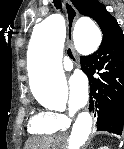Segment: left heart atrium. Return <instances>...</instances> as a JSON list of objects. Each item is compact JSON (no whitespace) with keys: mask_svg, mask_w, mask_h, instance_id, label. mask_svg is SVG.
<instances>
[{"mask_svg":"<svg viewBox=\"0 0 124 149\" xmlns=\"http://www.w3.org/2000/svg\"><path fill=\"white\" fill-rule=\"evenodd\" d=\"M88 100V83L81 74H74L69 80V105L73 111L82 109Z\"/></svg>","mask_w":124,"mask_h":149,"instance_id":"1","label":"left heart atrium"}]
</instances>
